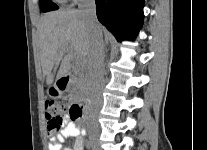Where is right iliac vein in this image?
<instances>
[{
    "label": "right iliac vein",
    "mask_w": 207,
    "mask_h": 150,
    "mask_svg": "<svg viewBox=\"0 0 207 150\" xmlns=\"http://www.w3.org/2000/svg\"><path fill=\"white\" fill-rule=\"evenodd\" d=\"M94 150H100L98 147L94 146Z\"/></svg>",
    "instance_id": "63e3f726"
}]
</instances>
